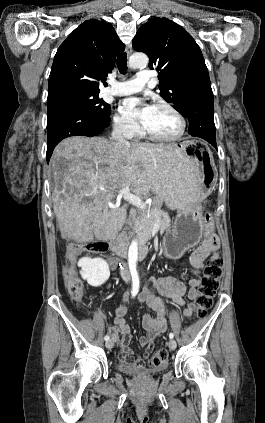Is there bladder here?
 I'll list each match as a JSON object with an SVG mask.
<instances>
[{"mask_svg":"<svg viewBox=\"0 0 265 423\" xmlns=\"http://www.w3.org/2000/svg\"><path fill=\"white\" fill-rule=\"evenodd\" d=\"M117 366L121 371L125 373L139 375V376H152L165 369V366L150 368V367L135 366L132 364H125L122 360L118 362Z\"/></svg>","mask_w":265,"mask_h":423,"instance_id":"31cf9c89","label":"bladder"}]
</instances>
